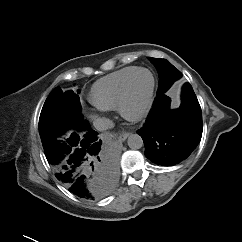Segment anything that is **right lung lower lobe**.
Segmentation results:
<instances>
[{"instance_id":"98d812e1","label":"right lung lower lobe","mask_w":242,"mask_h":242,"mask_svg":"<svg viewBox=\"0 0 242 242\" xmlns=\"http://www.w3.org/2000/svg\"><path fill=\"white\" fill-rule=\"evenodd\" d=\"M82 133L54 137L44 147L56 178L74 195L84 199L106 196L114 187L116 172L112 162L101 157V140L88 126Z\"/></svg>"}]
</instances>
